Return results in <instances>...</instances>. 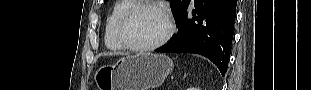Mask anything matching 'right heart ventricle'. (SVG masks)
Wrapping results in <instances>:
<instances>
[{
  "label": "right heart ventricle",
  "mask_w": 311,
  "mask_h": 90,
  "mask_svg": "<svg viewBox=\"0 0 311 90\" xmlns=\"http://www.w3.org/2000/svg\"><path fill=\"white\" fill-rule=\"evenodd\" d=\"M136 1L121 0L115 2L109 16L107 17L104 31L105 45L112 51L122 50L123 46L119 43L116 36V26L121 15L133 6Z\"/></svg>",
  "instance_id": "right-heart-ventricle-1"
}]
</instances>
